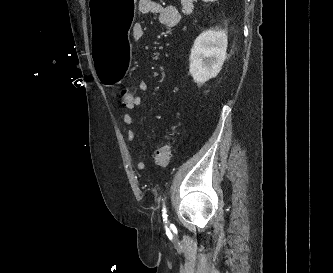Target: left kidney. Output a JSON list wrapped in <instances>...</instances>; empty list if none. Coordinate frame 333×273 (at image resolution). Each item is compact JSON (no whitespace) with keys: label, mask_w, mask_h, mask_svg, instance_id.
I'll list each match as a JSON object with an SVG mask.
<instances>
[{"label":"left kidney","mask_w":333,"mask_h":273,"mask_svg":"<svg viewBox=\"0 0 333 273\" xmlns=\"http://www.w3.org/2000/svg\"><path fill=\"white\" fill-rule=\"evenodd\" d=\"M227 39V32L222 30H207L196 38L189 69L196 83H205L218 75L226 59Z\"/></svg>","instance_id":"obj_1"}]
</instances>
